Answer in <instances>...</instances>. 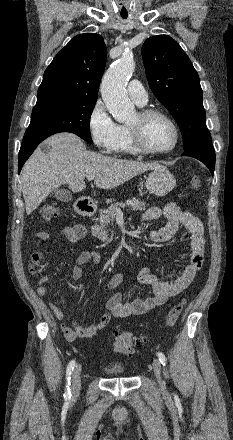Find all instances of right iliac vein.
<instances>
[{
  "label": "right iliac vein",
  "instance_id": "63e3f726",
  "mask_svg": "<svg viewBox=\"0 0 233 440\" xmlns=\"http://www.w3.org/2000/svg\"><path fill=\"white\" fill-rule=\"evenodd\" d=\"M81 370L80 364L76 365L72 374V395L73 397L79 395L81 388Z\"/></svg>",
  "mask_w": 233,
  "mask_h": 440
}]
</instances>
